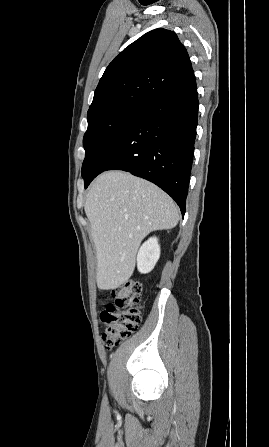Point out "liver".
<instances>
[{"mask_svg":"<svg viewBox=\"0 0 269 447\" xmlns=\"http://www.w3.org/2000/svg\"><path fill=\"white\" fill-rule=\"evenodd\" d=\"M97 253L99 289L131 277L137 249L155 229H171L179 210L163 190L127 172H105L90 186L84 206Z\"/></svg>","mask_w":269,"mask_h":447,"instance_id":"1","label":"liver"}]
</instances>
